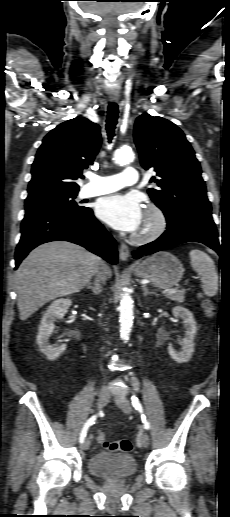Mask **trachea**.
I'll return each mask as SVG.
<instances>
[{
  "mask_svg": "<svg viewBox=\"0 0 230 517\" xmlns=\"http://www.w3.org/2000/svg\"><path fill=\"white\" fill-rule=\"evenodd\" d=\"M118 105L116 103H109L106 118V130L109 141L114 137V130L118 119Z\"/></svg>",
  "mask_w": 230,
  "mask_h": 517,
  "instance_id": "1",
  "label": "trachea"
}]
</instances>
